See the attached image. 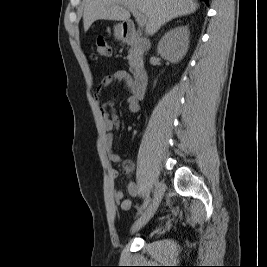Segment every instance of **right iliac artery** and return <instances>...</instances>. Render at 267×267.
<instances>
[{"mask_svg": "<svg viewBox=\"0 0 267 267\" xmlns=\"http://www.w3.org/2000/svg\"><path fill=\"white\" fill-rule=\"evenodd\" d=\"M149 202H150V195L148 193V194H146L145 200H144L141 208L139 209L137 215H140L143 212V210L147 207V205L149 204Z\"/></svg>", "mask_w": 267, "mask_h": 267, "instance_id": "1", "label": "right iliac artery"}]
</instances>
